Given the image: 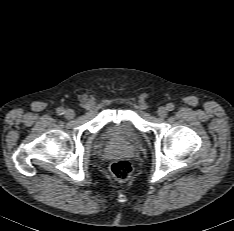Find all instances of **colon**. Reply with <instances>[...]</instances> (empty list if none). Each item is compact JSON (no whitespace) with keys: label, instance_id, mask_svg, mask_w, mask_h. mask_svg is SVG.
Returning <instances> with one entry per match:
<instances>
[{"label":"colon","instance_id":"5ec220e1","mask_svg":"<svg viewBox=\"0 0 234 231\" xmlns=\"http://www.w3.org/2000/svg\"><path fill=\"white\" fill-rule=\"evenodd\" d=\"M113 172L119 180L125 181L130 176L131 167L127 162L119 161L113 165Z\"/></svg>","mask_w":234,"mask_h":231}]
</instances>
